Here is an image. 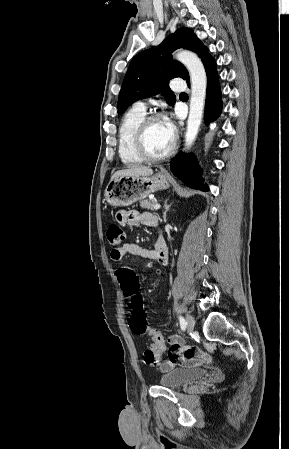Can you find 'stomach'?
Here are the masks:
<instances>
[{
	"label": "stomach",
	"instance_id": "1",
	"mask_svg": "<svg viewBox=\"0 0 289 449\" xmlns=\"http://www.w3.org/2000/svg\"><path fill=\"white\" fill-rule=\"evenodd\" d=\"M167 188H169V178L162 172L153 176H119L108 183L104 197L112 206L125 207L145 199L158 190Z\"/></svg>",
	"mask_w": 289,
	"mask_h": 449
}]
</instances>
